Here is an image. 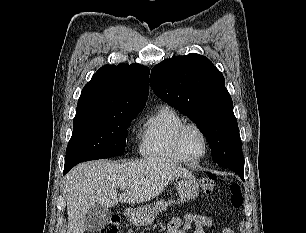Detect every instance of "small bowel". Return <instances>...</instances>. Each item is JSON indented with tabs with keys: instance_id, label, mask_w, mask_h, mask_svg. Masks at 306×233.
<instances>
[{
	"instance_id": "c3829d8e",
	"label": "small bowel",
	"mask_w": 306,
	"mask_h": 233,
	"mask_svg": "<svg viewBox=\"0 0 306 233\" xmlns=\"http://www.w3.org/2000/svg\"><path fill=\"white\" fill-rule=\"evenodd\" d=\"M213 226V219L207 215H197L194 213H184L181 217L173 218L167 225V233H205V228ZM222 233H235L229 228H224Z\"/></svg>"
}]
</instances>
